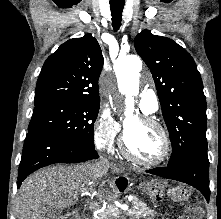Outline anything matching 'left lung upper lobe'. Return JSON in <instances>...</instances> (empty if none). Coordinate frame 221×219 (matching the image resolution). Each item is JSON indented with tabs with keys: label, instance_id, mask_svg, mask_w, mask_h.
<instances>
[{
	"label": "left lung upper lobe",
	"instance_id": "left-lung-upper-lobe-1",
	"mask_svg": "<svg viewBox=\"0 0 221 219\" xmlns=\"http://www.w3.org/2000/svg\"><path fill=\"white\" fill-rule=\"evenodd\" d=\"M134 46L155 81L172 144L169 164H178L190 152L207 150L206 98L191 55L172 39L149 30L136 36Z\"/></svg>",
	"mask_w": 221,
	"mask_h": 219
}]
</instances>
